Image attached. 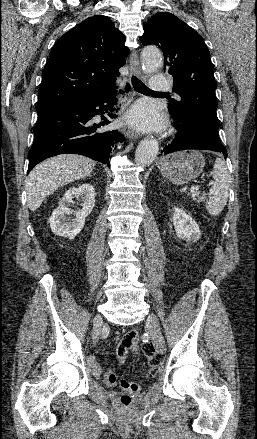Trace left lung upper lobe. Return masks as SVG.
I'll return each mask as SVG.
<instances>
[{
  "label": "left lung upper lobe",
  "mask_w": 257,
  "mask_h": 439,
  "mask_svg": "<svg viewBox=\"0 0 257 439\" xmlns=\"http://www.w3.org/2000/svg\"><path fill=\"white\" fill-rule=\"evenodd\" d=\"M143 27L140 41L144 46L154 44L163 51L165 69L174 79L173 91L180 96L179 100H169V113L176 117L201 114L219 124L217 85L203 38L168 12L157 13Z\"/></svg>",
  "instance_id": "left-lung-upper-lobe-1"
}]
</instances>
